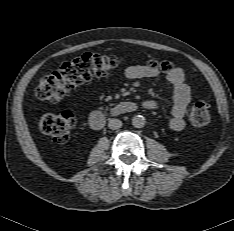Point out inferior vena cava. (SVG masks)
<instances>
[{"label":"inferior vena cava","mask_w":234,"mask_h":231,"mask_svg":"<svg viewBox=\"0 0 234 231\" xmlns=\"http://www.w3.org/2000/svg\"><path fill=\"white\" fill-rule=\"evenodd\" d=\"M108 127L112 130H116L122 127V122L119 119H110L108 122Z\"/></svg>","instance_id":"obj_1"}]
</instances>
